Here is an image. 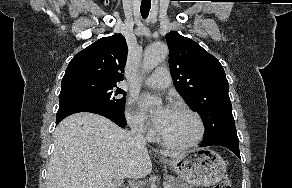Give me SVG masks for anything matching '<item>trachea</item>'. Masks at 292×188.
<instances>
[{"label":"trachea","instance_id":"3493384b","mask_svg":"<svg viewBox=\"0 0 292 188\" xmlns=\"http://www.w3.org/2000/svg\"><path fill=\"white\" fill-rule=\"evenodd\" d=\"M150 8H151V3H142L141 4L140 12H141V15L144 19L147 18L149 11H150Z\"/></svg>","mask_w":292,"mask_h":188}]
</instances>
